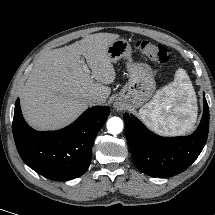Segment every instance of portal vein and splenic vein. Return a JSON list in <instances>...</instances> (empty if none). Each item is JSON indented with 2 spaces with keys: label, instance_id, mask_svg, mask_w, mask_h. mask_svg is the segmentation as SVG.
<instances>
[{
  "label": "portal vein and splenic vein",
  "instance_id": "1",
  "mask_svg": "<svg viewBox=\"0 0 215 215\" xmlns=\"http://www.w3.org/2000/svg\"><path fill=\"white\" fill-rule=\"evenodd\" d=\"M82 64H83V70H84L85 72H87V73H90L89 68H88V66L85 64L84 61H82Z\"/></svg>",
  "mask_w": 215,
  "mask_h": 215
}]
</instances>
